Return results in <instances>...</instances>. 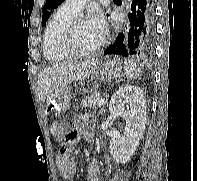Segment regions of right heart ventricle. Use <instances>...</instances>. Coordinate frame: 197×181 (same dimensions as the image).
I'll list each match as a JSON object with an SVG mask.
<instances>
[{"label": "right heart ventricle", "instance_id": "1", "mask_svg": "<svg viewBox=\"0 0 197 181\" xmlns=\"http://www.w3.org/2000/svg\"><path fill=\"white\" fill-rule=\"evenodd\" d=\"M77 15L62 6L50 17L43 37V52L47 60L58 62L71 58L62 48V37L68 23Z\"/></svg>", "mask_w": 197, "mask_h": 181}]
</instances>
